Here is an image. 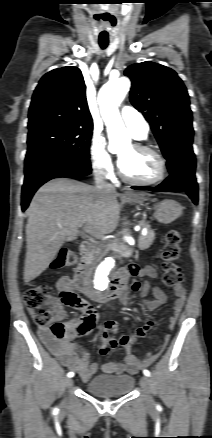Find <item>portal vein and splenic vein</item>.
Listing matches in <instances>:
<instances>
[{"mask_svg":"<svg viewBox=\"0 0 212 438\" xmlns=\"http://www.w3.org/2000/svg\"><path fill=\"white\" fill-rule=\"evenodd\" d=\"M85 231L88 233H91L93 235H97L91 228H89L88 226H85Z\"/></svg>","mask_w":212,"mask_h":438,"instance_id":"obj_1","label":"portal vein and splenic vein"}]
</instances>
